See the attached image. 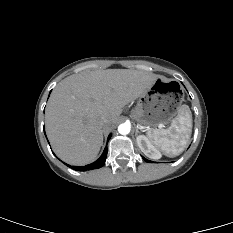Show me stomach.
Here are the masks:
<instances>
[{"label": "stomach", "mask_w": 233, "mask_h": 233, "mask_svg": "<svg viewBox=\"0 0 233 233\" xmlns=\"http://www.w3.org/2000/svg\"><path fill=\"white\" fill-rule=\"evenodd\" d=\"M168 83L165 78L157 77L140 96L132 112L134 119L149 130L166 124L177 114V110L168 101Z\"/></svg>", "instance_id": "1"}]
</instances>
